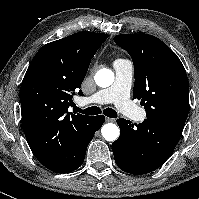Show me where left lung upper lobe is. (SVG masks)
Returning a JSON list of instances; mask_svg holds the SVG:
<instances>
[{"instance_id": "5c2ea615", "label": "left lung upper lobe", "mask_w": 199, "mask_h": 199, "mask_svg": "<svg viewBox=\"0 0 199 199\" xmlns=\"http://www.w3.org/2000/svg\"><path fill=\"white\" fill-rule=\"evenodd\" d=\"M114 41L132 57L133 98L141 100L147 119L183 131L189 113V83L180 59L149 34H121Z\"/></svg>"}]
</instances>
